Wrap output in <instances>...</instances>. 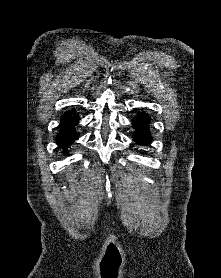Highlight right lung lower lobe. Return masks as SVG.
<instances>
[{
    "label": "right lung lower lobe",
    "mask_w": 221,
    "mask_h": 278,
    "mask_svg": "<svg viewBox=\"0 0 221 278\" xmlns=\"http://www.w3.org/2000/svg\"><path fill=\"white\" fill-rule=\"evenodd\" d=\"M78 121V114H74L61 121L59 125L60 132L56 138L59 147L67 149L78 138L79 135L75 131V126L78 124Z\"/></svg>",
    "instance_id": "right-lung-lower-lobe-1"
}]
</instances>
